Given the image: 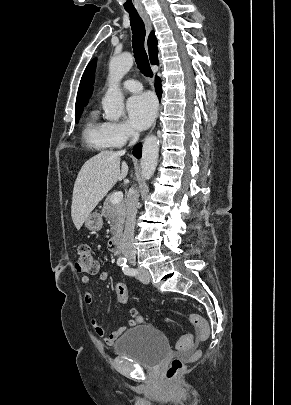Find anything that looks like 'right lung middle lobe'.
I'll list each match as a JSON object with an SVG mask.
<instances>
[{"label": "right lung middle lobe", "instance_id": "dd1d6c3e", "mask_svg": "<svg viewBox=\"0 0 291 405\" xmlns=\"http://www.w3.org/2000/svg\"><path fill=\"white\" fill-rule=\"evenodd\" d=\"M83 108L75 109V118H76V123H78L80 116L82 114Z\"/></svg>", "mask_w": 291, "mask_h": 405}]
</instances>
